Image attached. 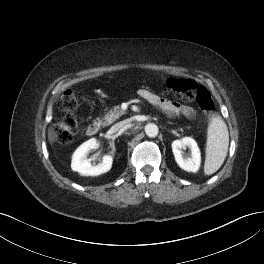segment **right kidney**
<instances>
[{
  "instance_id": "obj_1",
  "label": "right kidney",
  "mask_w": 264,
  "mask_h": 264,
  "mask_svg": "<svg viewBox=\"0 0 264 264\" xmlns=\"http://www.w3.org/2000/svg\"><path fill=\"white\" fill-rule=\"evenodd\" d=\"M97 147L98 144L95 138L89 139L79 146L72 156V170L86 176H98L108 172L113 162V157L111 155H105L102 162L98 165L91 164L90 160L87 159L89 151Z\"/></svg>"
}]
</instances>
